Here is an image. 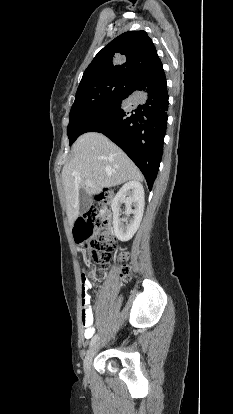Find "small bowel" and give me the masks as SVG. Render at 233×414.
Wrapping results in <instances>:
<instances>
[{"label": "small bowel", "instance_id": "obj_1", "mask_svg": "<svg viewBox=\"0 0 233 414\" xmlns=\"http://www.w3.org/2000/svg\"><path fill=\"white\" fill-rule=\"evenodd\" d=\"M80 278H81V302H82V312H81V320H82V327H83V335L86 339H90L95 332V328L93 325V312L90 306V296L88 291L92 289V284L90 283L89 275L86 270L80 271Z\"/></svg>", "mask_w": 233, "mask_h": 414}]
</instances>
